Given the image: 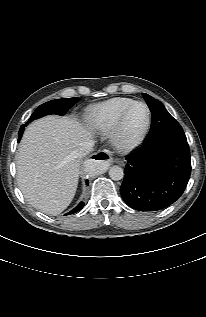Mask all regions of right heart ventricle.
Instances as JSON below:
<instances>
[{
	"label": "right heart ventricle",
	"instance_id": "e07e8e85",
	"mask_svg": "<svg viewBox=\"0 0 206 317\" xmlns=\"http://www.w3.org/2000/svg\"><path fill=\"white\" fill-rule=\"evenodd\" d=\"M132 102L133 99L115 97L92 106L87 114L86 121L93 128L102 132L113 129L121 112Z\"/></svg>",
	"mask_w": 206,
	"mask_h": 317
}]
</instances>
